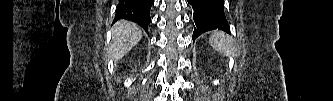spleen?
Instances as JSON below:
<instances>
[{
  "instance_id": "spleen-1",
  "label": "spleen",
  "mask_w": 333,
  "mask_h": 101,
  "mask_svg": "<svg viewBox=\"0 0 333 101\" xmlns=\"http://www.w3.org/2000/svg\"><path fill=\"white\" fill-rule=\"evenodd\" d=\"M209 44L213 49L227 57L234 55L236 52V46L232 38L221 31H216L210 36Z\"/></svg>"
}]
</instances>
